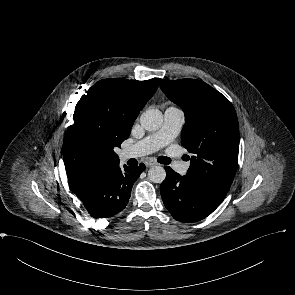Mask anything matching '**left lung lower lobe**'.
Returning a JSON list of instances; mask_svg holds the SVG:
<instances>
[{"label": "left lung lower lobe", "instance_id": "obj_1", "mask_svg": "<svg viewBox=\"0 0 295 295\" xmlns=\"http://www.w3.org/2000/svg\"><path fill=\"white\" fill-rule=\"evenodd\" d=\"M166 179L160 187L162 200L173 218L180 222H196L210 215L222 201L216 200L170 167H164Z\"/></svg>", "mask_w": 295, "mask_h": 295}]
</instances>
